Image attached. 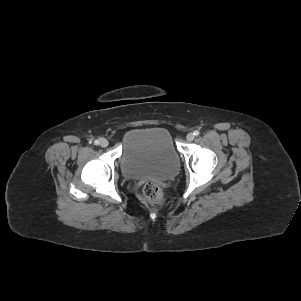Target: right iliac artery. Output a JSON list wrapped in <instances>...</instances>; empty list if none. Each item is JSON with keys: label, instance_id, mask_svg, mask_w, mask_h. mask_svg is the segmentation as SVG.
Instances as JSON below:
<instances>
[{"label": "right iliac artery", "instance_id": "82829eb1", "mask_svg": "<svg viewBox=\"0 0 301 301\" xmlns=\"http://www.w3.org/2000/svg\"><path fill=\"white\" fill-rule=\"evenodd\" d=\"M94 144H95V145H98V144H99V140H95V141H94Z\"/></svg>", "mask_w": 301, "mask_h": 301}]
</instances>
